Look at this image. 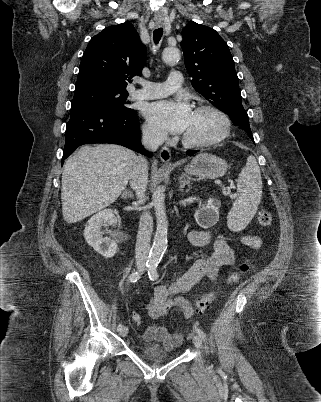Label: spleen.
<instances>
[{
  "label": "spleen",
  "instance_id": "3e777b00",
  "mask_svg": "<svg viewBox=\"0 0 321 402\" xmlns=\"http://www.w3.org/2000/svg\"><path fill=\"white\" fill-rule=\"evenodd\" d=\"M237 182L239 196L227 216V226L234 232L243 230L249 224L261 202L262 178L254 156L247 158Z\"/></svg>",
  "mask_w": 321,
  "mask_h": 402
}]
</instances>
